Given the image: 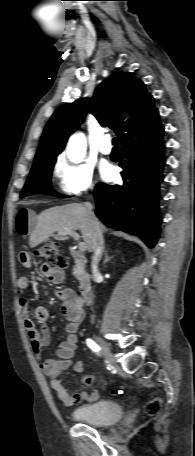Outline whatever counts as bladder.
<instances>
[{
  "instance_id": "31cf9c89",
  "label": "bladder",
  "mask_w": 195,
  "mask_h": 456,
  "mask_svg": "<svg viewBox=\"0 0 195 456\" xmlns=\"http://www.w3.org/2000/svg\"><path fill=\"white\" fill-rule=\"evenodd\" d=\"M123 409L115 401L99 400L73 410L72 417L91 426H107L122 418Z\"/></svg>"
}]
</instances>
